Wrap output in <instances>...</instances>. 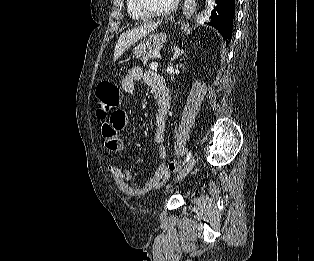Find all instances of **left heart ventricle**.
<instances>
[{
    "label": "left heart ventricle",
    "mask_w": 314,
    "mask_h": 261,
    "mask_svg": "<svg viewBox=\"0 0 314 261\" xmlns=\"http://www.w3.org/2000/svg\"><path fill=\"white\" fill-rule=\"evenodd\" d=\"M146 3L153 9L162 10L169 7L174 0H145Z\"/></svg>",
    "instance_id": "1"
}]
</instances>
